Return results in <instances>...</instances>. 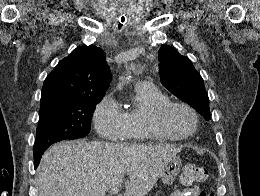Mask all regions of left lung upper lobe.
Wrapping results in <instances>:
<instances>
[{"mask_svg": "<svg viewBox=\"0 0 260 196\" xmlns=\"http://www.w3.org/2000/svg\"><path fill=\"white\" fill-rule=\"evenodd\" d=\"M161 83L173 95L190 104L206 120H210L209 98L204 81L191 61L171 46L159 51Z\"/></svg>", "mask_w": 260, "mask_h": 196, "instance_id": "obj_1", "label": "left lung upper lobe"}]
</instances>
